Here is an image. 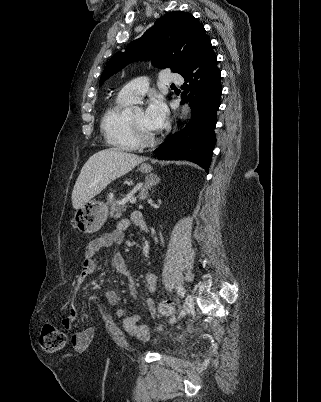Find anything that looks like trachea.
<instances>
[{
  "label": "trachea",
  "mask_w": 321,
  "mask_h": 402,
  "mask_svg": "<svg viewBox=\"0 0 321 402\" xmlns=\"http://www.w3.org/2000/svg\"><path fill=\"white\" fill-rule=\"evenodd\" d=\"M171 86H175V84H171Z\"/></svg>",
  "instance_id": "3493384b"
}]
</instances>
